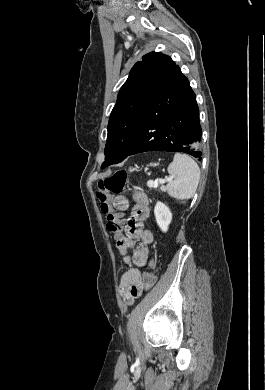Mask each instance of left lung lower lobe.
Masks as SVG:
<instances>
[{
	"mask_svg": "<svg viewBox=\"0 0 265 390\" xmlns=\"http://www.w3.org/2000/svg\"><path fill=\"white\" fill-rule=\"evenodd\" d=\"M200 140L196 96L176 65L146 108L139 133L127 156L166 151L187 153L202 160Z\"/></svg>",
	"mask_w": 265,
	"mask_h": 390,
	"instance_id": "left-lung-lower-lobe-1",
	"label": "left lung lower lobe"
}]
</instances>
